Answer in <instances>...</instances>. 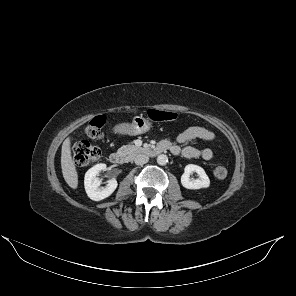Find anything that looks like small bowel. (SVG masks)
I'll return each instance as SVG.
<instances>
[{
  "label": "small bowel",
  "mask_w": 296,
  "mask_h": 296,
  "mask_svg": "<svg viewBox=\"0 0 296 296\" xmlns=\"http://www.w3.org/2000/svg\"><path fill=\"white\" fill-rule=\"evenodd\" d=\"M196 139L212 141L215 139V134L205 127L192 126L178 135L177 143H173L169 139H164L160 144L167 146L168 150L174 155H180L185 158H201L206 161L212 160L214 153L211 149H198L193 146L184 145Z\"/></svg>",
  "instance_id": "obj_1"
}]
</instances>
